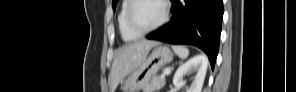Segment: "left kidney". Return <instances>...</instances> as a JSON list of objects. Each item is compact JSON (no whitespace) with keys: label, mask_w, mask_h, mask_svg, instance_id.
<instances>
[{"label":"left kidney","mask_w":296,"mask_h":92,"mask_svg":"<svg viewBox=\"0 0 296 92\" xmlns=\"http://www.w3.org/2000/svg\"><path fill=\"white\" fill-rule=\"evenodd\" d=\"M207 67V58L204 55H196L178 67L173 77V84L178 87L185 85L184 76L196 71L194 80L187 92H201Z\"/></svg>","instance_id":"left-kidney-1"}]
</instances>
